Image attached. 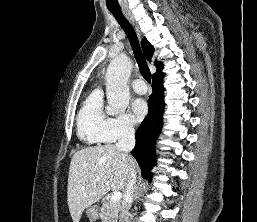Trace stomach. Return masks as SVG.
I'll list each match as a JSON object with an SVG mask.
<instances>
[{
    "label": "stomach",
    "instance_id": "0dacf381",
    "mask_svg": "<svg viewBox=\"0 0 257 222\" xmlns=\"http://www.w3.org/2000/svg\"><path fill=\"white\" fill-rule=\"evenodd\" d=\"M86 215L92 222L96 221L99 217L98 209L95 206L88 207L86 209Z\"/></svg>",
    "mask_w": 257,
    "mask_h": 222
}]
</instances>
